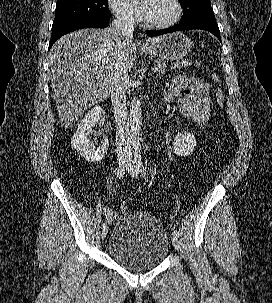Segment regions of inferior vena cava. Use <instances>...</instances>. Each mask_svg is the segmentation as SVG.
<instances>
[{
	"mask_svg": "<svg viewBox=\"0 0 272 303\" xmlns=\"http://www.w3.org/2000/svg\"><path fill=\"white\" fill-rule=\"evenodd\" d=\"M135 21L129 14H119L112 22L114 33L118 37L117 59L111 79V102L116 124V148L119 160L132 159L131 134L126 107V90L129 84L128 65L124 61L126 45L133 39Z\"/></svg>",
	"mask_w": 272,
	"mask_h": 303,
	"instance_id": "1",
	"label": "inferior vena cava"
}]
</instances>
